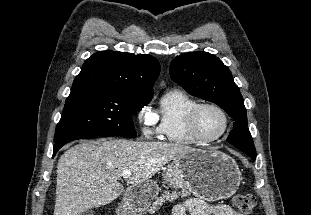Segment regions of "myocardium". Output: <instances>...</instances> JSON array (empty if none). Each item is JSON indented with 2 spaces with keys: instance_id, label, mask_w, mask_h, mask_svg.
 <instances>
[{
  "instance_id": "obj_1",
  "label": "myocardium",
  "mask_w": 311,
  "mask_h": 215,
  "mask_svg": "<svg viewBox=\"0 0 311 215\" xmlns=\"http://www.w3.org/2000/svg\"><path fill=\"white\" fill-rule=\"evenodd\" d=\"M204 108H212L220 113L223 118L224 126L222 130L213 137H206L202 135L198 129L197 120L199 113ZM229 126V118L226 111L216 103L205 102V103H197L194 107L190 109L186 116V128L189 135L198 143H212L219 140L227 131Z\"/></svg>"
}]
</instances>
